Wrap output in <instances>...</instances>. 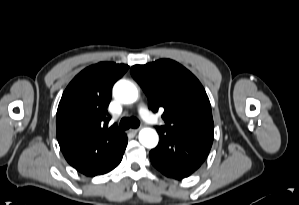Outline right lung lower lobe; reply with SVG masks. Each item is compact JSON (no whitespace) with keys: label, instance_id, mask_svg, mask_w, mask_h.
<instances>
[{"label":"right lung lower lobe","instance_id":"1","mask_svg":"<svg viewBox=\"0 0 299 205\" xmlns=\"http://www.w3.org/2000/svg\"><path fill=\"white\" fill-rule=\"evenodd\" d=\"M127 141H128L127 137L125 136V139H124V141L122 143V146L119 149V151L117 153H115V155L109 161H107V163L105 165H103L101 168H99L97 171H95L90 176H96V175L105 174V173L113 170L116 166H118L119 163L122 160L123 153H124V151L126 149Z\"/></svg>","mask_w":299,"mask_h":205}]
</instances>
